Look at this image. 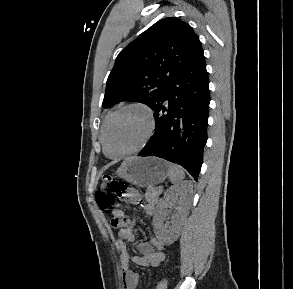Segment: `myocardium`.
Listing matches in <instances>:
<instances>
[{
	"label": "myocardium",
	"instance_id": "obj_1",
	"mask_svg": "<svg viewBox=\"0 0 293 289\" xmlns=\"http://www.w3.org/2000/svg\"><path fill=\"white\" fill-rule=\"evenodd\" d=\"M128 109H140L145 113L146 118H147V122H148L147 131H146L145 136L142 139V141L136 147H134L133 149L126 151L124 153L118 154V155H111L108 152V148H107L108 129H109L110 125L112 124L113 120L119 114H121L123 111L128 110ZM155 130H156V118H155L153 110L148 105L141 103V102H132L129 104H125V105L121 106L120 108H118L115 112H113L111 114V116L108 118V120L106 121L104 130H103V134H102V145H103L104 154L110 159H121V158L130 156L134 153H137L148 144V142L152 138Z\"/></svg>",
	"mask_w": 293,
	"mask_h": 289
}]
</instances>
